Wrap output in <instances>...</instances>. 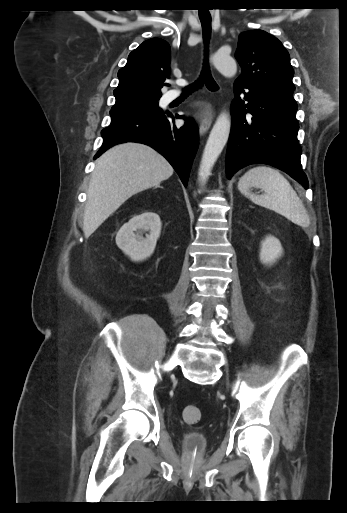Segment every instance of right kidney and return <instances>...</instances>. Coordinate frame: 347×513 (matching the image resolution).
Instances as JSON below:
<instances>
[{
	"mask_svg": "<svg viewBox=\"0 0 347 513\" xmlns=\"http://www.w3.org/2000/svg\"><path fill=\"white\" fill-rule=\"evenodd\" d=\"M161 220L154 212H144L125 223L116 235L117 246L133 261H142L154 252L161 233ZM149 231L146 237L143 233Z\"/></svg>",
	"mask_w": 347,
	"mask_h": 513,
	"instance_id": "ca27d5eb",
	"label": "right kidney"
}]
</instances>
